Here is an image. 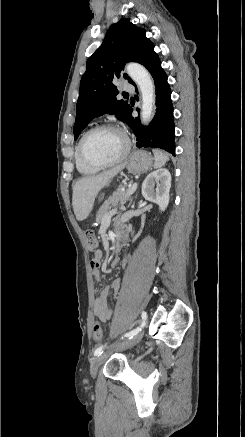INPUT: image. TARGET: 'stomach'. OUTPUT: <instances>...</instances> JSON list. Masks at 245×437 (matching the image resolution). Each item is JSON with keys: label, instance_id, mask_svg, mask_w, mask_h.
Here are the masks:
<instances>
[{"label": "stomach", "instance_id": "stomach-1", "mask_svg": "<svg viewBox=\"0 0 245 437\" xmlns=\"http://www.w3.org/2000/svg\"><path fill=\"white\" fill-rule=\"evenodd\" d=\"M153 165V157L145 151L133 152L127 163L126 168L131 174H142L147 172ZM103 194L99 196V200L103 199Z\"/></svg>", "mask_w": 245, "mask_h": 437}]
</instances>
